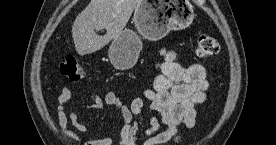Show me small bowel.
Masks as SVG:
<instances>
[{
	"mask_svg": "<svg viewBox=\"0 0 276 145\" xmlns=\"http://www.w3.org/2000/svg\"><path fill=\"white\" fill-rule=\"evenodd\" d=\"M163 60L157 64L160 74L156 76L153 88L146 90L142 98H136L129 105L123 103L115 91H109L104 97L88 94L90 103L87 109L105 110L116 108L121 116L122 125L119 131V145H135L144 138V145H162L171 141L178 142L181 136L178 127L181 124L193 128L197 118V106L204 103L208 81L203 65L182 66L173 51L161 50ZM73 98V90L64 87L56 100L55 111L61 132L75 141L81 136L68 129L71 123L79 133L87 131L82 115L76 110L67 111L66 105ZM149 105L159 113L149 116V126L141 129L134 119L144 113ZM161 126H165L161 130ZM113 136L107 134L101 138L89 140L85 145H112Z\"/></svg>",
	"mask_w": 276,
	"mask_h": 145,
	"instance_id": "c3829d8e",
	"label": "small bowel"
}]
</instances>
